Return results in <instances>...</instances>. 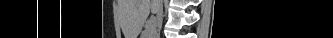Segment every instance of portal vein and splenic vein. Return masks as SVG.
Here are the masks:
<instances>
[{
	"label": "portal vein and splenic vein",
	"instance_id": "18ae733b",
	"mask_svg": "<svg viewBox=\"0 0 333 38\" xmlns=\"http://www.w3.org/2000/svg\"><path fill=\"white\" fill-rule=\"evenodd\" d=\"M154 22H155V17L151 16L150 17V25H154Z\"/></svg>",
	"mask_w": 333,
	"mask_h": 38
}]
</instances>
